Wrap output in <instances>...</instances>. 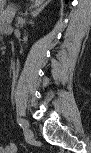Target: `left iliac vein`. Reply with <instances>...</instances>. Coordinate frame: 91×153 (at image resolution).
<instances>
[{"label": "left iliac vein", "instance_id": "left-iliac-vein-1", "mask_svg": "<svg viewBox=\"0 0 91 153\" xmlns=\"http://www.w3.org/2000/svg\"><path fill=\"white\" fill-rule=\"evenodd\" d=\"M25 124H27V123L25 122ZM26 139L28 141H33L34 140V134L28 127H27V137H26Z\"/></svg>", "mask_w": 91, "mask_h": 153}]
</instances>
